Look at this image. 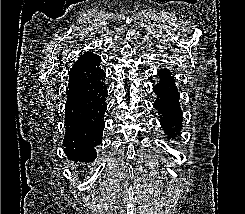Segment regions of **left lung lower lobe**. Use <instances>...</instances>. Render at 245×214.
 <instances>
[{"instance_id": "obj_1", "label": "left lung lower lobe", "mask_w": 245, "mask_h": 214, "mask_svg": "<svg viewBox=\"0 0 245 214\" xmlns=\"http://www.w3.org/2000/svg\"><path fill=\"white\" fill-rule=\"evenodd\" d=\"M160 82L153 87L157 99L153 106L160 115L161 127H163L168 138L173 140L180 134L182 127V112L179 103V93L175 86L172 72L168 69H160L157 73Z\"/></svg>"}]
</instances>
